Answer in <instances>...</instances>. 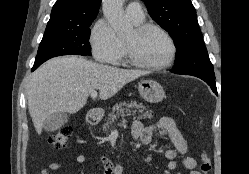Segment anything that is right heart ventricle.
<instances>
[{
  "instance_id": "1",
  "label": "right heart ventricle",
  "mask_w": 249,
  "mask_h": 174,
  "mask_svg": "<svg viewBox=\"0 0 249 174\" xmlns=\"http://www.w3.org/2000/svg\"><path fill=\"white\" fill-rule=\"evenodd\" d=\"M131 20H132V22H133L136 26L143 23V19H140V20L131 19Z\"/></svg>"
}]
</instances>
